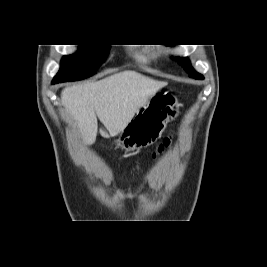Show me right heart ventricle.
<instances>
[{
  "instance_id": "1",
  "label": "right heart ventricle",
  "mask_w": 267,
  "mask_h": 267,
  "mask_svg": "<svg viewBox=\"0 0 267 267\" xmlns=\"http://www.w3.org/2000/svg\"><path fill=\"white\" fill-rule=\"evenodd\" d=\"M131 55L139 64L146 65L150 63V55L147 51L134 49L132 50Z\"/></svg>"
}]
</instances>
